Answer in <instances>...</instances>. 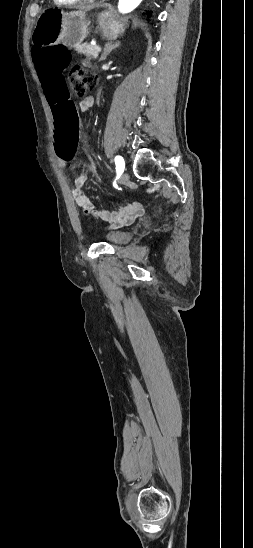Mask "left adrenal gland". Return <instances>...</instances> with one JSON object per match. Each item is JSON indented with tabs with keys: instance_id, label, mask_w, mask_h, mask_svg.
<instances>
[{
	"instance_id": "1",
	"label": "left adrenal gland",
	"mask_w": 253,
	"mask_h": 548,
	"mask_svg": "<svg viewBox=\"0 0 253 548\" xmlns=\"http://www.w3.org/2000/svg\"><path fill=\"white\" fill-rule=\"evenodd\" d=\"M120 46V42H117V43H106L105 46H104V49H103V54L100 58L99 61H104L106 60L107 56L116 48H118Z\"/></svg>"
}]
</instances>
